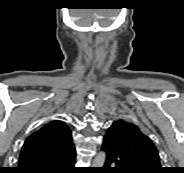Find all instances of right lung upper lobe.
Returning <instances> with one entry per match:
<instances>
[{"mask_svg": "<svg viewBox=\"0 0 184 173\" xmlns=\"http://www.w3.org/2000/svg\"><path fill=\"white\" fill-rule=\"evenodd\" d=\"M75 151L69 127L54 120L33 133L25 141L16 170L40 165Z\"/></svg>", "mask_w": 184, "mask_h": 173, "instance_id": "right-lung-upper-lobe-1", "label": "right lung upper lobe"}]
</instances>
